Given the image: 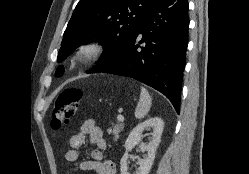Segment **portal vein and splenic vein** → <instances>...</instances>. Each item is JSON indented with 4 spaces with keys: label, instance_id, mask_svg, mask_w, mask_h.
<instances>
[{
    "label": "portal vein and splenic vein",
    "instance_id": "portal-vein-and-splenic-vein-1",
    "mask_svg": "<svg viewBox=\"0 0 249 174\" xmlns=\"http://www.w3.org/2000/svg\"><path fill=\"white\" fill-rule=\"evenodd\" d=\"M117 119H118L119 122H124L123 115H118Z\"/></svg>",
    "mask_w": 249,
    "mask_h": 174
}]
</instances>
